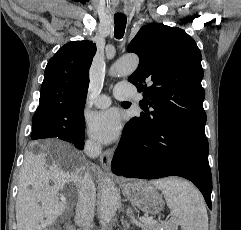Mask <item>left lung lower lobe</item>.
Masks as SVG:
<instances>
[{"label": "left lung lower lobe", "mask_w": 241, "mask_h": 230, "mask_svg": "<svg viewBox=\"0 0 241 230\" xmlns=\"http://www.w3.org/2000/svg\"><path fill=\"white\" fill-rule=\"evenodd\" d=\"M111 169L130 178L184 177L198 187L211 209L212 176L204 126L169 121L148 131L134 117L124 127Z\"/></svg>", "instance_id": "obj_1"}]
</instances>
